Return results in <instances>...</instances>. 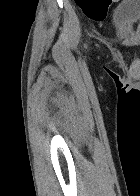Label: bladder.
<instances>
[{"instance_id": "bladder-1", "label": "bladder", "mask_w": 140, "mask_h": 196, "mask_svg": "<svg viewBox=\"0 0 140 196\" xmlns=\"http://www.w3.org/2000/svg\"><path fill=\"white\" fill-rule=\"evenodd\" d=\"M112 22L118 34H128L140 25V0H125L112 13Z\"/></svg>"}]
</instances>
